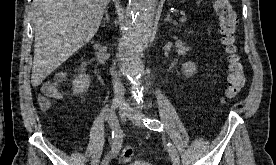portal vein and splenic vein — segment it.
I'll return each mask as SVG.
<instances>
[{
    "instance_id": "18ae733b",
    "label": "portal vein and splenic vein",
    "mask_w": 276,
    "mask_h": 165,
    "mask_svg": "<svg viewBox=\"0 0 276 165\" xmlns=\"http://www.w3.org/2000/svg\"><path fill=\"white\" fill-rule=\"evenodd\" d=\"M181 15H182V16H181V18H180V21H182V22H183V21H186L187 18H186V16H185V14L182 13Z\"/></svg>"
}]
</instances>
